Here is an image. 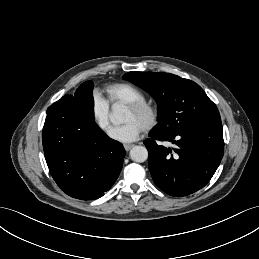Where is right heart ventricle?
Here are the masks:
<instances>
[{
    "label": "right heart ventricle",
    "instance_id": "obj_1",
    "mask_svg": "<svg viewBox=\"0 0 259 259\" xmlns=\"http://www.w3.org/2000/svg\"><path fill=\"white\" fill-rule=\"evenodd\" d=\"M104 92L113 108L146 99V95L141 90L128 83L109 84L104 88Z\"/></svg>",
    "mask_w": 259,
    "mask_h": 259
}]
</instances>
